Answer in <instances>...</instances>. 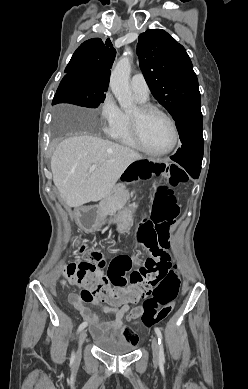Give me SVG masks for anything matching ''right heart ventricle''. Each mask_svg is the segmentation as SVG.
<instances>
[{
	"label": "right heart ventricle",
	"mask_w": 248,
	"mask_h": 389,
	"mask_svg": "<svg viewBox=\"0 0 248 389\" xmlns=\"http://www.w3.org/2000/svg\"><path fill=\"white\" fill-rule=\"evenodd\" d=\"M142 103H145L146 100L139 99ZM115 140L118 142L134 148V149H140L136 141L134 140L132 133H131V124H130V114L126 112H122V119L120 122V125L118 129L115 131V133L112 136Z\"/></svg>",
	"instance_id": "1"
}]
</instances>
